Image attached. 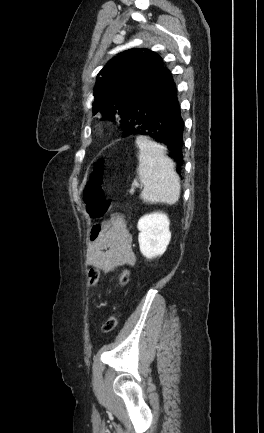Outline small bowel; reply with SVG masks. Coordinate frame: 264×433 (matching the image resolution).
I'll use <instances>...</instances> for the list:
<instances>
[{"mask_svg": "<svg viewBox=\"0 0 264 433\" xmlns=\"http://www.w3.org/2000/svg\"><path fill=\"white\" fill-rule=\"evenodd\" d=\"M86 262L105 273L135 263L132 236L121 215L113 214L109 220L92 227Z\"/></svg>", "mask_w": 264, "mask_h": 433, "instance_id": "c3829d8e", "label": "small bowel"}]
</instances>
